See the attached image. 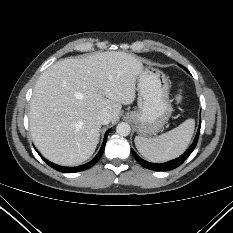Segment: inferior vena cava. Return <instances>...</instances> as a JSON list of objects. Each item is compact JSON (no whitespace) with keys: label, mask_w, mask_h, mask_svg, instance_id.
Listing matches in <instances>:
<instances>
[{"label":"inferior vena cava","mask_w":233,"mask_h":233,"mask_svg":"<svg viewBox=\"0 0 233 233\" xmlns=\"http://www.w3.org/2000/svg\"><path fill=\"white\" fill-rule=\"evenodd\" d=\"M98 120L102 125L109 124L110 114L108 112H106V111H103L98 115Z\"/></svg>","instance_id":"602c4592"}]
</instances>
